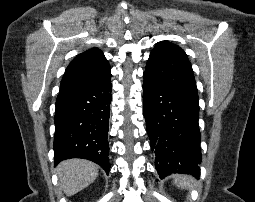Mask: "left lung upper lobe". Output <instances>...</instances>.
Listing matches in <instances>:
<instances>
[{"mask_svg":"<svg viewBox=\"0 0 255 202\" xmlns=\"http://www.w3.org/2000/svg\"><path fill=\"white\" fill-rule=\"evenodd\" d=\"M144 74L169 87L197 93L192 66L186 53L167 41L155 45Z\"/></svg>","mask_w":255,"mask_h":202,"instance_id":"left-lung-upper-lobe-1","label":"left lung upper lobe"}]
</instances>
